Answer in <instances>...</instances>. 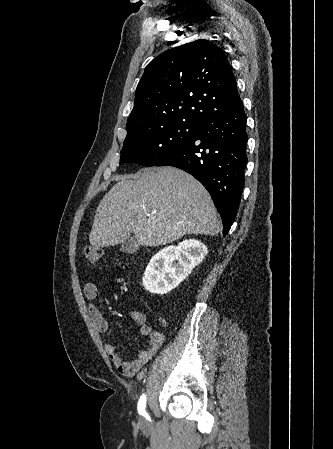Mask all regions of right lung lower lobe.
<instances>
[{"label": "right lung lower lobe", "instance_id": "obj_1", "mask_svg": "<svg viewBox=\"0 0 333 449\" xmlns=\"http://www.w3.org/2000/svg\"><path fill=\"white\" fill-rule=\"evenodd\" d=\"M246 114L239 98L205 118L186 142L155 166H174L199 180L210 193L226 236L237 214L244 186Z\"/></svg>", "mask_w": 333, "mask_h": 449}]
</instances>
